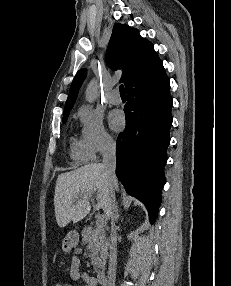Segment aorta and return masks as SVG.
I'll return each mask as SVG.
<instances>
[{"label": "aorta", "instance_id": "aorta-1", "mask_svg": "<svg viewBox=\"0 0 231 286\" xmlns=\"http://www.w3.org/2000/svg\"><path fill=\"white\" fill-rule=\"evenodd\" d=\"M97 93H98L97 82L93 80L88 84L86 88V92H85L86 101H88L89 103L94 102L95 99L97 98Z\"/></svg>", "mask_w": 231, "mask_h": 286}]
</instances>
